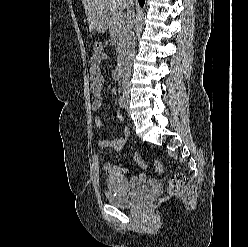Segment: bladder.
Returning a JSON list of instances; mask_svg holds the SVG:
<instances>
[{
	"label": "bladder",
	"mask_w": 248,
	"mask_h": 247,
	"mask_svg": "<svg viewBox=\"0 0 248 247\" xmlns=\"http://www.w3.org/2000/svg\"><path fill=\"white\" fill-rule=\"evenodd\" d=\"M124 180L125 178L120 175H111L107 178V199L112 205L117 207L133 206L142 200L149 191L148 186H141L129 193L123 184Z\"/></svg>",
	"instance_id": "bladder-1"
}]
</instances>
